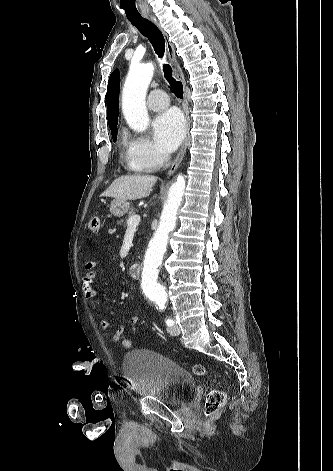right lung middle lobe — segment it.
<instances>
[{"label":"right lung middle lobe","mask_w":333,"mask_h":471,"mask_svg":"<svg viewBox=\"0 0 333 471\" xmlns=\"http://www.w3.org/2000/svg\"><path fill=\"white\" fill-rule=\"evenodd\" d=\"M117 131H118V130H117V128H116L114 131L111 132L112 138H113V141H114V142H115L116 139H117Z\"/></svg>","instance_id":"obj_1"}]
</instances>
